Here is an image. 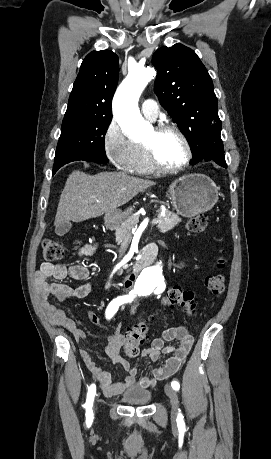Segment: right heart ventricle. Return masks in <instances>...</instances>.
Masks as SVG:
<instances>
[{
	"label": "right heart ventricle",
	"mask_w": 271,
	"mask_h": 459,
	"mask_svg": "<svg viewBox=\"0 0 271 459\" xmlns=\"http://www.w3.org/2000/svg\"><path fill=\"white\" fill-rule=\"evenodd\" d=\"M125 169L136 174H148L155 170L144 143H132V154Z\"/></svg>",
	"instance_id": "obj_1"
}]
</instances>
